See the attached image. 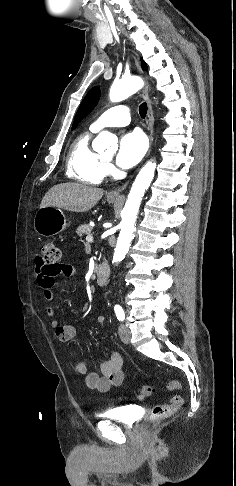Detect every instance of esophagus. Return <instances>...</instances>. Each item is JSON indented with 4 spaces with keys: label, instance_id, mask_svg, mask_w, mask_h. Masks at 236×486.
Returning a JSON list of instances; mask_svg holds the SVG:
<instances>
[{
    "label": "esophagus",
    "instance_id": "obj_1",
    "mask_svg": "<svg viewBox=\"0 0 236 486\" xmlns=\"http://www.w3.org/2000/svg\"><path fill=\"white\" fill-rule=\"evenodd\" d=\"M134 59H135L136 68L141 73L142 71H141L140 64H139L138 60L136 59V57H134ZM142 96L146 100L147 106H148L147 125H148L149 140H150V145H151L152 142H153L154 113H153V109H152V102H151V100L149 98L148 88H147L146 85L142 89ZM128 183L129 182H126L125 184H123L122 186L118 187L117 189H114V190L109 191L108 192V196L109 197H112V198L119 197L121 195V193L123 192V190L127 187Z\"/></svg>",
    "mask_w": 236,
    "mask_h": 486
}]
</instances>
